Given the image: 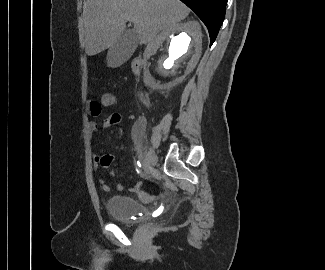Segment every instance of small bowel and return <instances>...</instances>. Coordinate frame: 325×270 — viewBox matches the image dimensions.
Here are the masks:
<instances>
[{
  "label": "small bowel",
  "instance_id": "small-bowel-1",
  "mask_svg": "<svg viewBox=\"0 0 325 270\" xmlns=\"http://www.w3.org/2000/svg\"><path fill=\"white\" fill-rule=\"evenodd\" d=\"M102 96H114L111 92H104ZM114 103H99L98 100H91L88 103V112L92 117H98L102 114L104 108L113 106ZM121 115L119 113H113L106 117L103 121V126L113 127L120 123ZM99 125L95 121L89 123V130L91 135H94L98 131ZM117 159L115 155L108 153L104 148H101L100 152L94 156V163L97 167L109 168L111 164ZM113 173H109L106 176L100 178V183L104 191L109 192L111 190L110 185L107 183V178L112 177ZM126 187L123 184L117 186V191L123 192ZM130 190L137 193L141 200L150 201V195L146 192L141 191V183L137 182L132 185Z\"/></svg>",
  "mask_w": 325,
  "mask_h": 270
}]
</instances>
